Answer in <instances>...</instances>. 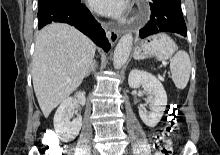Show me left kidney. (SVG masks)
Here are the masks:
<instances>
[{
    "label": "left kidney",
    "mask_w": 220,
    "mask_h": 155,
    "mask_svg": "<svg viewBox=\"0 0 220 155\" xmlns=\"http://www.w3.org/2000/svg\"><path fill=\"white\" fill-rule=\"evenodd\" d=\"M128 84L131 88L142 86L149 95L147 104L151 111L147 112L141 107L139 116L145 125L155 127L160 122L167 105V95L162 83L146 71L133 69L129 74Z\"/></svg>",
    "instance_id": "left-kidney-1"
}]
</instances>
